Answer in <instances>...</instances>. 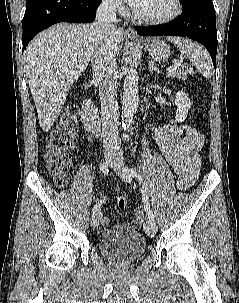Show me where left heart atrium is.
I'll list each match as a JSON object with an SVG mask.
<instances>
[{"label": "left heart atrium", "mask_w": 239, "mask_h": 303, "mask_svg": "<svg viewBox=\"0 0 239 303\" xmlns=\"http://www.w3.org/2000/svg\"><path fill=\"white\" fill-rule=\"evenodd\" d=\"M124 1L136 10L143 4L145 0H124Z\"/></svg>", "instance_id": "left-heart-atrium-1"}]
</instances>
